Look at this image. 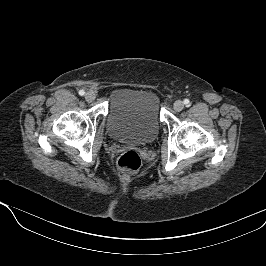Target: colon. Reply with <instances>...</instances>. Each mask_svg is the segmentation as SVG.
Here are the masks:
<instances>
[{
    "label": "colon",
    "instance_id": "5ec220e1",
    "mask_svg": "<svg viewBox=\"0 0 266 266\" xmlns=\"http://www.w3.org/2000/svg\"><path fill=\"white\" fill-rule=\"evenodd\" d=\"M117 165L120 170L133 173L136 172L141 166V157L135 150H127L118 158Z\"/></svg>",
    "mask_w": 266,
    "mask_h": 266
}]
</instances>
